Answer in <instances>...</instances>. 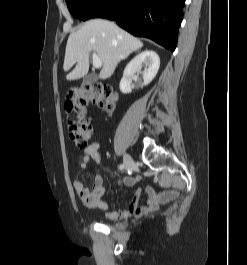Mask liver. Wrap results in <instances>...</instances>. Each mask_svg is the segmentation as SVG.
<instances>
[{
	"label": "liver",
	"instance_id": "1",
	"mask_svg": "<svg viewBox=\"0 0 247 265\" xmlns=\"http://www.w3.org/2000/svg\"><path fill=\"white\" fill-rule=\"evenodd\" d=\"M142 46L143 43L139 39L113 22L103 19L90 20L68 38L63 69L68 71L74 64L76 66L67 74L66 79L77 80L88 73L91 51L97 53L103 64L100 79H107L114 73L121 60Z\"/></svg>",
	"mask_w": 247,
	"mask_h": 265
}]
</instances>
